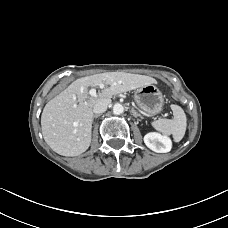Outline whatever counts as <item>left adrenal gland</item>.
Returning a JSON list of instances; mask_svg holds the SVG:
<instances>
[{
    "instance_id": "obj_1",
    "label": "left adrenal gland",
    "mask_w": 228,
    "mask_h": 228,
    "mask_svg": "<svg viewBox=\"0 0 228 228\" xmlns=\"http://www.w3.org/2000/svg\"><path fill=\"white\" fill-rule=\"evenodd\" d=\"M132 113L133 115L137 118V117H140V119L142 120L144 117L141 116L138 112H136L134 109H132Z\"/></svg>"
}]
</instances>
